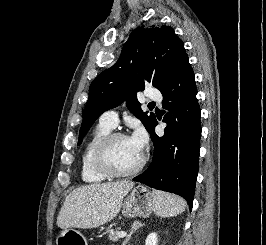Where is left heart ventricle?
I'll list each match as a JSON object with an SVG mask.
<instances>
[{
	"instance_id": "1",
	"label": "left heart ventricle",
	"mask_w": 266,
	"mask_h": 245,
	"mask_svg": "<svg viewBox=\"0 0 266 245\" xmlns=\"http://www.w3.org/2000/svg\"><path fill=\"white\" fill-rule=\"evenodd\" d=\"M140 155L133 149L127 137H120L111 146L110 164L117 172H129L137 165Z\"/></svg>"
}]
</instances>
